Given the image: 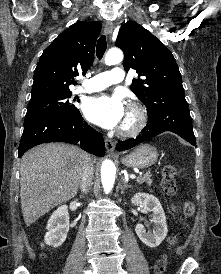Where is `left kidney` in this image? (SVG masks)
Instances as JSON below:
<instances>
[{"instance_id":"1","label":"left kidney","mask_w":221,"mask_h":274,"mask_svg":"<svg viewBox=\"0 0 221 274\" xmlns=\"http://www.w3.org/2000/svg\"><path fill=\"white\" fill-rule=\"evenodd\" d=\"M132 204L142 207L147 212H152L151 223L154 224L153 232H146L142 224H137L135 231L139 239L148 247L155 248L167 236L166 217L160 201L147 193H137L131 199Z\"/></svg>"}]
</instances>
